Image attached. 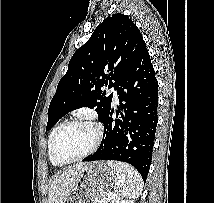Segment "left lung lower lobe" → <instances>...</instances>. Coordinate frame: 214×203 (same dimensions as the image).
<instances>
[{"mask_svg": "<svg viewBox=\"0 0 214 203\" xmlns=\"http://www.w3.org/2000/svg\"><path fill=\"white\" fill-rule=\"evenodd\" d=\"M123 112L113 120L111 108L101 120L104 135L98 150L83 161L117 160L134 166L144 182L150 168L158 122V82L147 48L117 88Z\"/></svg>", "mask_w": 214, "mask_h": 203, "instance_id": "obj_1", "label": "left lung lower lobe"}]
</instances>
